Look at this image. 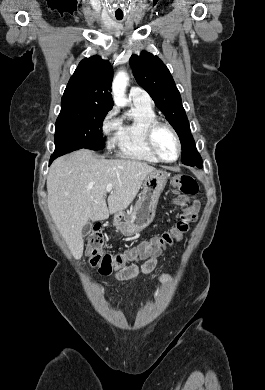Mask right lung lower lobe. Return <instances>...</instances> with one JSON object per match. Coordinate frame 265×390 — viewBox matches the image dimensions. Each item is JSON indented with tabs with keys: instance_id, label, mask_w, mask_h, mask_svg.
I'll list each match as a JSON object with an SVG mask.
<instances>
[{
	"instance_id": "98d812e1",
	"label": "right lung lower lobe",
	"mask_w": 265,
	"mask_h": 390,
	"mask_svg": "<svg viewBox=\"0 0 265 390\" xmlns=\"http://www.w3.org/2000/svg\"><path fill=\"white\" fill-rule=\"evenodd\" d=\"M59 156H61V155L54 152L53 155H52L51 158H50V163H51L55 158H57V157H59Z\"/></svg>"
}]
</instances>
